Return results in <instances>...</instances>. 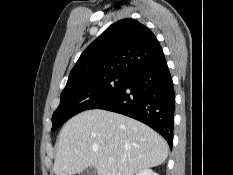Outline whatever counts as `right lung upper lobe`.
Returning a JSON list of instances; mask_svg holds the SVG:
<instances>
[{
	"label": "right lung upper lobe",
	"mask_w": 233,
	"mask_h": 175,
	"mask_svg": "<svg viewBox=\"0 0 233 175\" xmlns=\"http://www.w3.org/2000/svg\"><path fill=\"white\" fill-rule=\"evenodd\" d=\"M163 55L149 28L134 19H123L112 24L83 51L67 83L107 73L131 75Z\"/></svg>",
	"instance_id": "obj_1"
}]
</instances>
